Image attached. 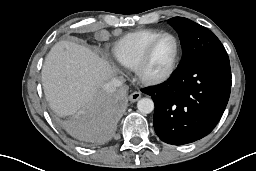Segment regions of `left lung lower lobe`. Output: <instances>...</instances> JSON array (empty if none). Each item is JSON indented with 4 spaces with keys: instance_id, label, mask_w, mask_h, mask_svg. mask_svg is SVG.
I'll return each instance as SVG.
<instances>
[{
    "instance_id": "1",
    "label": "left lung lower lobe",
    "mask_w": 256,
    "mask_h": 171,
    "mask_svg": "<svg viewBox=\"0 0 256 171\" xmlns=\"http://www.w3.org/2000/svg\"><path fill=\"white\" fill-rule=\"evenodd\" d=\"M230 91L227 53L197 57L180 65L166 83L142 90L155 104L156 134L173 145L208 135L220 120Z\"/></svg>"
}]
</instances>
